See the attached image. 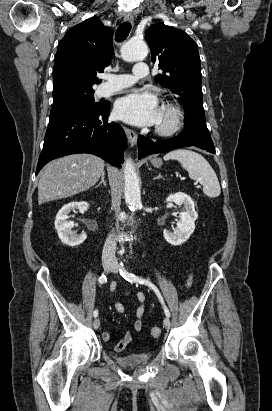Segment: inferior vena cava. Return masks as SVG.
<instances>
[{"mask_svg":"<svg viewBox=\"0 0 272 411\" xmlns=\"http://www.w3.org/2000/svg\"><path fill=\"white\" fill-rule=\"evenodd\" d=\"M116 252V242L114 239V234H109L107 237L103 251H102V261L103 262H113L115 259Z\"/></svg>","mask_w":272,"mask_h":411,"instance_id":"602c4592","label":"inferior vena cava"}]
</instances>
